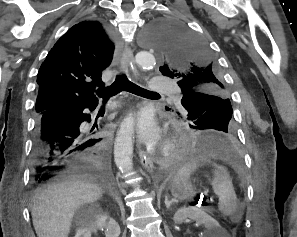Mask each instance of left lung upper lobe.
Listing matches in <instances>:
<instances>
[{"instance_id":"5c2ea615","label":"left lung upper lobe","mask_w":297,"mask_h":237,"mask_svg":"<svg viewBox=\"0 0 297 237\" xmlns=\"http://www.w3.org/2000/svg\"><path fill=\"white\" fill-rule=\"evenodd\" d=\"M149 40L163 61L160 71L182 90L181 113L200 126L224 129L235 136L229 91L206 42L187 29L164 21L149 29Z\"/></svg>"}]
</instances>
